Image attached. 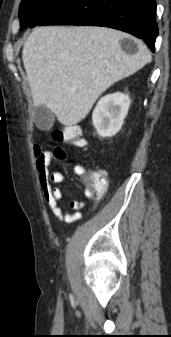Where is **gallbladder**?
<instances>
[{
  "label": "gallbladder",
  "instance_id": "1",
  "mask_svg": "<svg viewBox=\"0 0 171 337\" xmlns=\"http://www.w3.org/2000/svg\"><path fill=\"white\" fill-rule=\"evenodd\" d=\"M54 121L53 113L45 106H38L35 110V123L38 128L47 130Z\"/></svg>",
  "mask_w": 171,
  "mask_h": 337
}]
</instances>
